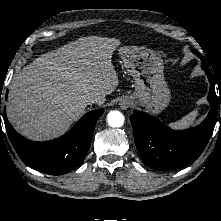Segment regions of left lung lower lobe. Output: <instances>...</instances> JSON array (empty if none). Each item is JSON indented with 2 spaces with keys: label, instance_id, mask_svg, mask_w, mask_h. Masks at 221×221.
<instances>
[{
  "label": "left lung lower lobe",
  "instance_id": "1",
  "mask_svg": "<svg viewBox=\"0 0 221 221\" xmlns=\"http://www.w3.org/2000/svg\"><path fill=\"white\" fill-rule=\"evenodd\" d=\"M200 59L202 69L210 81L208 101L211 109L199 126L182 131L172 130L155 117L136 110L129 117L135 144L143 163L152 169L172 170L194 162L203 152L213 133L217 119V96L212 74L204 59L202 57Z\"/></svg>",
  "mask_w": 221,
  "mask_h": 221
}]
</instances>
